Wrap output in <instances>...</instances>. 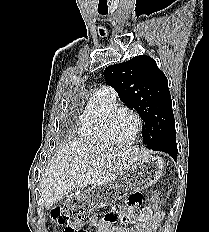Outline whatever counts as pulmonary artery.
I'll return each instance as SVG.
<instances>
[{
    "instance_id": "pulmonary-artery-1",
    "label": "pulmonary artery",
    "mask_w": 209,
    "mask_h": 232,
    "mask_svg": "<svg viewBox=\"0 0 209 232\" xmlns=\"http://www.w3.org/2000/svg\"><path fill=\"white\" fill-rule=\"evenodd\" d=\"M102 88H104L105 91H106L111 97H113V98L116 99V92H115V90H114L113 88L108 87V86H104V87H102Z\"/></svg>"
}]
</instances>
